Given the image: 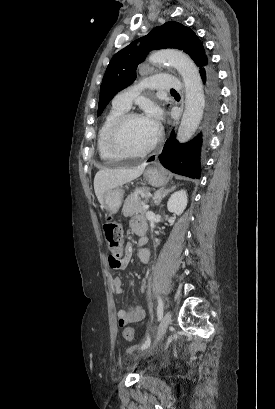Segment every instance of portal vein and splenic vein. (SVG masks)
Returning a JSON list of instances; mask_svg holds the SVG:
<instances>
[{
    "label": "portal vein and splenic vein",
    "mask_w": 275,
    "mask_h": 409,
    "mask_svg": "<svg viewBox=\"0 0 275 409\" xmlns=\"http://www.w3.org/2000/svg\"><path fill=\"white\" fill-rule=\"evenodd\" d=\"M142 209H149V205H145V202H143Z\"/></svg>",
    "instance_id": "obj_1"
}]
</instances>
